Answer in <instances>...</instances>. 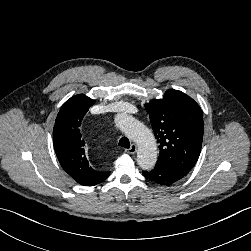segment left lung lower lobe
I'll return each mask as SVG.
<instances>
[{
	"mask_svg": "<svg viewBox=\"0 0 251 251\" xmlns=\"http://www.w3.org/2000/svg\"><path fill=\"white\" fill-rule=\"evenodd\" d=\"M142 173L146 178L160 185H171L187 174L180 169L158 164L152 171H143Z\"/></svg>",
	"mask_w": 251,
	"mask_h": 251,
	"instance_id": "1",
	"label": "left lung lower lobe"
}]
</instances>
